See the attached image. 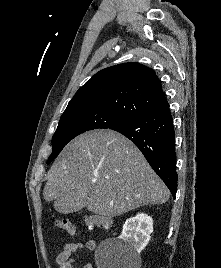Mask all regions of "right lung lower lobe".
<instances>
[{
  "mask_svg": "<svg viewBox=\"0 0 221 268\" xmlns=\"http://www.w3.org/2000/svg\"><path fill=\"white\" fill-rule=\"evenodd\" d=\"M110 129L134 142L175 198L177 190L175 132L169 106L121 122Z\"/></svg>",
  "mask_w": 221,
  "mask_h": 268,
  "instance_id": "obj_1",
  "label": "right lung lower lobe"
}]
</instances>
